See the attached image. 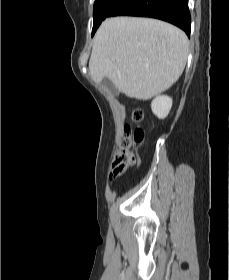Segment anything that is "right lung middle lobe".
<instances>
[{
  "label": "right lung middle lobe",
  "instance_id": "obj_1",
  "mask_svg": "<svg viewBox=\"0 0 229 280\" xmlns=\"http://www.w3.org/2000/svg\"><path fill=\"white\" fill-rule=\"evenodd\" d=\"M116 0H95L94 3V23L92 29V35H94L95 31L101 24V22L106 18L109 9L111 8L112 4Z\"/></svg>",
  "mask_w": 229,
  "mask_h": 280
}]
</instances>
